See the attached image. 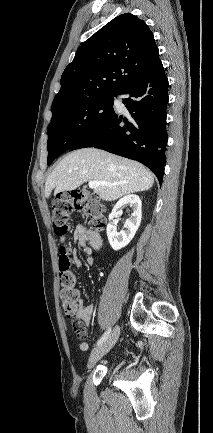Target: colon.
<instances>
[{"instance_id":"colon-1","label":"colon","mask_w":213,"mask_h":433,"mask_svg":"<svg viewBox=\"0 0 213 433\" xmlns=\"http://www.w3.org/2000/svg\"><path fill=\"white\" fill-rule=\"evenodd\" d=\"M75 210H80L90 220L96 229H102L105 225V207L93 194L81 190H74L62 194L57 198L52 210V225L56 234L64 235L69 230L71 215ZM60 283L62 286L60 299L62 308L67 317H75L79 308V292L74 287V276L70 271L71 258L67 246L60 249L59 255ZM75 333L81 337L82 325L75 322Z\"/></svg>"}]
</instances>
